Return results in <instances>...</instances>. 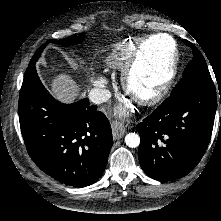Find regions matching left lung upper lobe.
I'll use <instances>...</instances> for the list:
<instances>
[{"mask_svg": "<svg viewBox=\"0 0 221 221\" xmlns=\"http://www.w3.org/2000/svg\"><path fill=\"white\" fill-rule=\"evenodd\" d=\"M184 43L190 46L193 50V59L189 62L187 67L183 72L182 79L175 86L172 91L179 89L181 86L186 84L189 81L200 80L204 82L212 83V79L206 64V61L201 54V52L187 40H184Z\"/></svg>", "mask_w": 221, "mask_h": 221, "instance_id": "5c2ea615", "label": "left lung upper lobe"}]
</instances>
